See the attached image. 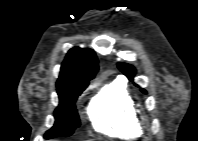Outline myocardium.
<instances>
[{
	"mask_svg": "<svg viewBox=\"0 0 198 141\" xmlns=\"http://www.w3.org/2000/svg\"><path fill=\"white\" fill-rule=\"evenodd\" d=\"M138 122H139L140 129L146 128V123L144 121H140L139 118H138Z\"/></svg>",
	"mask_w": 198,
	"mask_h": 141,
	"instance_id": "myocardium-1",
	"label": "myocardium"
}]
</instances>
